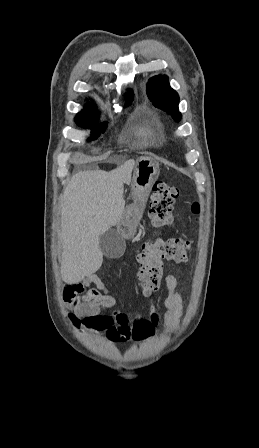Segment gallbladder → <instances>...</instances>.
Returning <instances> with one entry per match:
<instances>
[{
  "label": "gallbladder",
  "mask_w": 259,
  "mask_h": 448,
  "mask_svg": "<svg viewBox=\"0 0 259 448\" xmlns=\"http://www.w3.org/2000/svg\"><path fill=\"white\" fill-rule=\"evenodd\" d=\"M99 248L106 258H120L125 252V242L115 230H107L99 238Z\"/></svg>",
  "instance_id": "1"
}]
</instances>
